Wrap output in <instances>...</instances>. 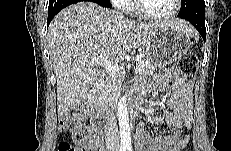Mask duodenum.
Instances as JSON below:
<instances>
[{
    "mask_svg": "<svg viewBox=\"0 0 231 151\" xmlns=\"http://www.w3.org/2000/svg\"><path fill=\"white\" fill-rule=\"evenodd\" d=\"M97 95V85H94L89 93V95L86 97L85 99V105L87 107L88 110L93 111L95 110V106H94V99ZM138 108H139V101L138 100H133L132 101V113L135 115L138 112ZM97 122L98 119L102 120L104 122V124L106 125V127L110 126L111 123V119H112V115L111 113L106 110V109H100L98 111L97 117L93 116Z\"/></svg>",
    "mask_w": 231,
    "mask_h": 151,
    "instance_id": "obj_1",
    "label": "duodenum"
}]
</instances>
